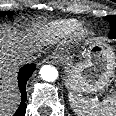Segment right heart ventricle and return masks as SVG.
I'll return each instance as SVG.
<instances>
[{"label": "right heart ventricle", "mask_w": 116, "mask_h": 116, "mask_svg": "<svg viewBox=\"0 0 116 116\" xmlns=\"http://www.w3.org/2000/svg\"><path fill=\"white\" fill-rule=\"evenodd\" d=\"M80 26L76 19L54 20L42 25L36 33V40L45 46L59 43L69 37Z\"/></svg>", "instance_id": "e07e8e85"}]
</instances>
